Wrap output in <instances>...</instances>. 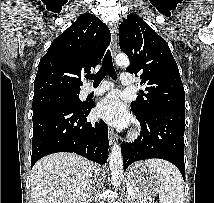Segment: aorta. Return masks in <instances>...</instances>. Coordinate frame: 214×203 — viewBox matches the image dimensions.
<instances>
[{"instance_id": "762f6f07", "label": "aorta", "mask_w": 214, "mask_h": 203, "mask_svg": "<svg viewBox=\"0 0 214 203\" xmlns=\"http://www.w3.org/2000/svg\"><path fill=\"white\" fill-rule=\"evenodd\" d=\"M116 64L126 67L129 65V59L125 54H119L116 57ZM109 167L113 185L114 187H119L123 178V159L121 148L117 143L111 149Z\"/></svg>"}]
</instances>
